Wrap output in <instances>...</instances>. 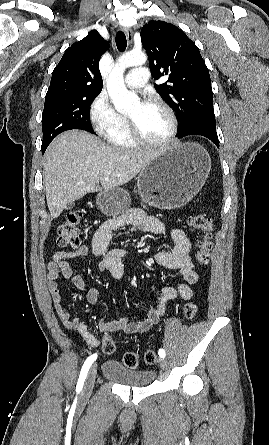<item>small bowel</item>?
Listing matches in <instances>:
<instances>
[{"label":"small bowel","instance_id":"obj_1","mask_svg":"<svg viewBox=\"0 0 269 445\" xmlns=\"http://www.w3.org/2000/svg\"><path fill=\"white\" fill-rule=\"evenodd\" d=\"M126 224H130L140 231L153 234H162L166 230L163 222L147 215L140 209H133L125 216L106 221L97 228L92 241V252L100 258L96 264V269L99 273H109L117 281H120L124 276L123 259L126 251L122 248L108 250V245L114 233ZM171 238L174 243L173 250L159 251L155 254L154 259L159 266L175 271L182 282L177 287L165 286L161 288L157 304L152 305L145 318L140 321L133 322L127 318L111 321L101 319L98 327L105 335L114 331H123L127 334L146 332L163 317L168 302L177 298L191 299L193 296L192 285L199 280V274L190 253L191 244L184 231L177 227L171 230ZM88 251V247L81 244L74 252H56L47 265V286L56 312L65 328L79 333L91 347H98L100 341L88 330L86 324L77 318H72L64 307L57 284L58 277L62 276L65 280H70L75 290H83V279L74 275L71 261L86 256ZM152 289H154L153 286ZM100 297V290L90 289L86 299L90 305H94Z\"/></svg>","mask_w":269,"mask_h":445}]
</instances>
